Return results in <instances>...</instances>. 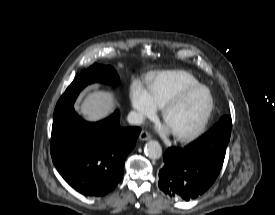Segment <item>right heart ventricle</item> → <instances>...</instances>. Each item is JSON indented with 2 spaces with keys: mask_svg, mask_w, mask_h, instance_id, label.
<instances>
[{
  "mask_svg": "<svg viewBox=\"0 0 275 215\" xmlns=\"http://www.w3.org/2000/svg\"><path fill=\"white\" fill-rule=\"evenodd\" d=\"M196 84H199V81L184 70L155 72L147 78V90L158 108H163L166 102L182 89Z\"/></svg>",
  "mask_w": 275,
  "mask_h": 215,
  "instance_id": "e07e8e85",
  "label": "right heart ventricle"
}]
</instances>
